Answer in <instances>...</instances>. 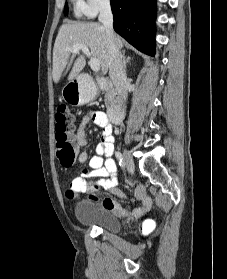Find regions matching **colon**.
Here are the masks:
<instances>
[{"label": "colon", "mask_w": 227, "mask_h": 279, "mask_svg": "<svg viewBox=\"0 0 227 279\" xmlns=\"http://www.w3.org/2000/svg\"><path fill=\"white\" fill-rule=\"evenodd\" d=\"M73 116L66 105H59L55 115V151L65 167L73 165L77 156V148L70 142V127Z\"/></svg>", "instance_id": "obj_1"}]
</instances>
